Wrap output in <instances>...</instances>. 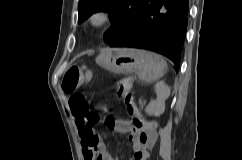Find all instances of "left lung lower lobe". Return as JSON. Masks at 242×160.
I'll use <instances>...</instances> for the list:
<instances>
[{
	"label": "left lung lower lobe",
	"mask_w": 242,
	"mask_h": 160,
	"mask_svg": "<svg viewBox=\"0 0 242 160\" xmlns=\"http://www.w3.org/2000/svg\"><path fill=\"white\" fill-rule=\"evenodd\" d=\"M188 9L189 0H149L131 29L110 46L155 51L172 60L178 70Z\"/></svg>",
	"instance_id": "obj_1"
}]
</instances>
